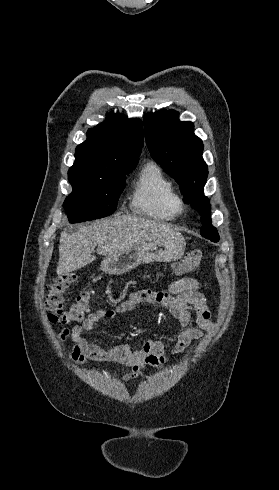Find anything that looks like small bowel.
I'll return each instance as SVG.
<instances>
[{"label": "small bowel", "mask_w": 279, "mask_h": 490, "mask_svg": "<svg viewBox=\"0 0 279 490\" xmlns=\"http://www.w3.org/2000/svg\"><path fill=\"white\" fill-rule=\"evenodd\" d=\"M200 287L201 283L198 280L183 278L172 283L168 291L142 289L132 292L117 307L95 310L89 313L80 325L72 329H62L57 334V340L64 342L71 338L75 341L72 361L86 364L91 359L116 363L129 369L123 380L131 381L147 366H163L171 356L183 352L212 329L211 313ZM142 303L169 309L181 323L175 347L170 353L166 351L160 339H149L140 348L132 349L126 343H113L110 347H102L85 336V333L92 330L99 321L113 320L119 314L131 311ZM193 314L196 326L191 325Z\"/></svg>", "instance_id": "1"}]
</instances>
